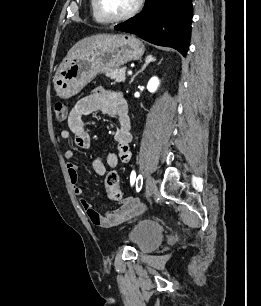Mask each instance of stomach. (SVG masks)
<instances>
[{
	"mask_svg": "<svg viewBox=\"0 0 261 306\" xmlns=\"http://www.w3.org/2000/svg\"><path fill=\"white\" fill-rule=\"evenodd\" d=\"M143 43L133 35L117 34L96 41L65 59L54 76V88L61 98L79 93L98 74L119 69L144 54Z\"/></svg>",
	"mask_w": 261,
	"mask_h": 306,
	"instance_id": "1",
	"label": "stomach"
}]
</instances>
